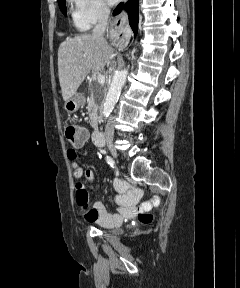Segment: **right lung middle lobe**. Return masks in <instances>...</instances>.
Instances as JSON below:
<instances>
[{
	"label": "right lung middle lobe",
	"instance_id": "dd1d6c3e",
	"mask_svg": "<svg viewBox=\"0 0 240 288\" xmlns=\"http://www.w3.org/2000/svg\"><path fill=\"white\" fill-rule=\"evenodd\" d=\"M58 2H59V7H60V9H61V11H62V13L63 14H65L66 15V0H58Z\"/></svg>",
	"mask_w": 240,
	"mask_h": 288
}]
</instances>
